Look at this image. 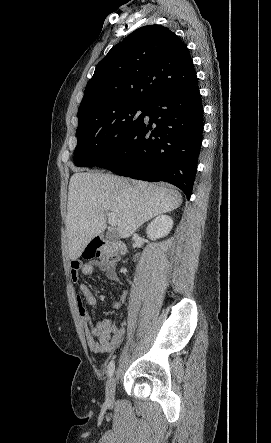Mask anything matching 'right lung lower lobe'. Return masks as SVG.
<instances>
[{"instance_id": "1", "label": "right lung lower lobe", "mask_w": 271, "mask_h": 443, "mask_svg": "<svg viewBox=\"0 0 271 443\" xmlns=\"http://www.w3.org/2000/svg\"><path fill=\"white\" fill-rule=\"evenodd\" d=\"M143 119L100 167L134 179L166 181L189 199L196 175L203 132L198 80L157 95Z\"/></svg>"}]
</instances>
